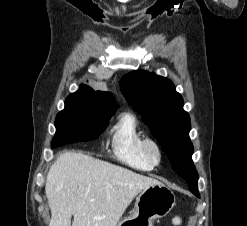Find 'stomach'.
Returning <instances> with one entry per match:
<instances>
[{
  "instance_id": "1",
  "label": "stomach",
  "mask_w": 247,
  "mask_h": 226,
  "mask_svg": "<svg viewBox=\"0 0 247 226\" xmlns=\"http://www.w3.org/2000/svg\"><path fill=\"white\" fill-rule=\"evenodd\" d=\"M175 202L173 192L164 184L150 185L136 198L133 213L117 226H153L154 220L166 216Z\"/></svg>"
}]
</instances>
